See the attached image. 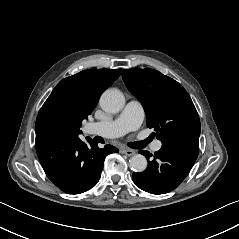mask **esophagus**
<instances>
[{
	"instance_id": "34e87169",
	"label": "esophagus",
	"mask_w": 239,
	"mask_h": 239,
	"mask_svg": "<svg viewBox=\"0 0 239 239\" xmlns=\"http://www.w3.org/2000/svg\"><path fill=\"white\" fill-rule=\"evenodd\" d=\"M121 153H123L127 156H133V155H135L136 152L132 149H122Z\"/></svg>"
}]
</instances>
